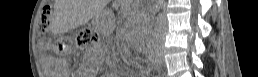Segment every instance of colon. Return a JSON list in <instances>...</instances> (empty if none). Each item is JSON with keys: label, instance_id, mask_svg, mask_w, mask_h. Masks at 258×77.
<instances>
[{"label": "colon", "instance_id": "obj_1", "mask_svg": "<svg viewBox=\"0 0 258 77\" xmlns=\"http://www.w3.org/2000/svg\"><path fill=\"white\" fill-rule=\"evenodd\" d=\"M51 22V16H50V10L48 8H44L42 10L40 20H39V29L40 31H46L50 27ZM95 40V34L87 31L82 30L79 32L77 36V45L81 47H87L94 44Z\"/></svg>", "mask_w": 258, "mask_h": 77}]
</instances>
